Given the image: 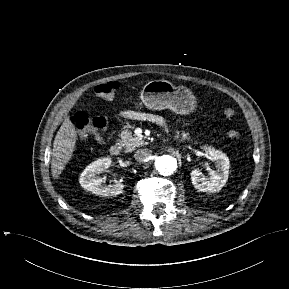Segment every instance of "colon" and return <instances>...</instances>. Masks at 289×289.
Instances as JSON below:
<instances>
[{
  "label": "colon",
  "mask_w": 289,
  "mask_h": 289,
  "mask_svg": "<svg viewBox=\"0 0 289 289\" xmlns=\"http://www.w3.org/2000/svg\"><path fill=\"white\" fill-rule=\"evenodd\" d=\"M119 85L117 82H107L97 85L95 87V93L97 96L103 99H112ZM224 115L228 119H232L235 116V111L227 107L223 111ZM72 125L76 128L78 136L84 137L88 131L100 130L106 127L107 121L103 116H89L85 112H77L71 118ZM229 138L237 140L240 137V133L234 129L228 131Z\"/></svg>",
  "instance_id": "colon-1"
}]
</instances>
